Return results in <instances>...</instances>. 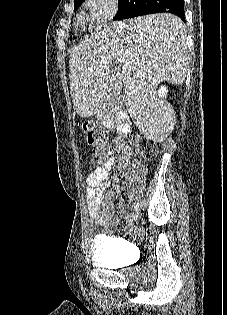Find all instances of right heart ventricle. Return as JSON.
Listing matches in <instances>:
<instances>
[{"label":"right heart ventricle","instance_id":"1","mask_svg":"<svg viewBox=\"0 0 227 315\" xmlns=\"http://www.w3.org/2000/svg\"><path fill=\"white\" fill-rule=\"evenodd\" d=\"M88 21H89V19H88V17H87V15L84 13V12H80L79 14H78V16H77V22H78V24L81 26V27H86L87 26V24H88Z\"/></svg>","mask_w":227,"mask_h":315}]
</instances>
